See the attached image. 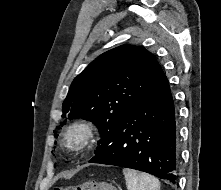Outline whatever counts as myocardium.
Instances as JSON below:
<instances>
[{"label": "myocardium", "instance_id": "f54148a6", "mask_svg": "<svg viewBox=\"0 0 221 190\" xmlns=\"http://www.w3.org/2000/svg\"><path fill=\"white\" fill-rule=\"evenodd\" d=\"M75 136L76 142H71L70 137ZM95 136V126L87 119H77L71 122L63 131V146L74 152H80L87 149L92 143Z\"/></svg>", "mask_w": 221, "mask_h": 190}]
</instances>
